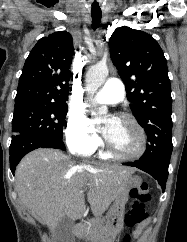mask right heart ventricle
Returning <instances> with one entry per match:
<instances>
[{
  "instance_id": "obj_1",
  "label": "right heart ventricle",
  "mask_w": 187,
  "mask_h": 242,
  "mask_svg": "<svg viewBox=\"0 0 187 242\" xmlns=\"http://www.w3.org/2000/svg\"><path fill=\"white\" fill-rule=\"evenodd\" d=\"M103 158H109V156L107 154H102Z\"/></svg>"
}]
</instances>
